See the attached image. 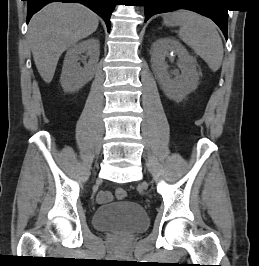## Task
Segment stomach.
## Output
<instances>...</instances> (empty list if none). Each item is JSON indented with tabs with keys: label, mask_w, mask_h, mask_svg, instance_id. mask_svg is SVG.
Segmentation results:
<instances>
[{
	"label": "stomach",
	"mask_w": 259,
	"mask_h": 266,
	"mask_svg": "<svg viewBox=\"0 0 259 266\" xmlns=\"http://www.w3.org/2000/svg\"><path fill=\"white\" fill-rule=\"evenodd\" d=\"M163 22L168 26H176L180 24V21L175 17V12L165 14L163 16Z\"/></svg>",
	"instance_id": "stomach-1"
}]
</instances>
